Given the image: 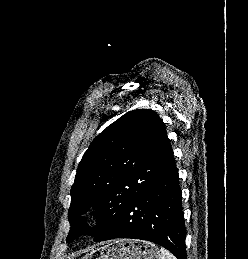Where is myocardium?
Instances as JSON below:
<instances>
[{
  "instance_id": "obj_1",
  "label": "myocardium",
  "mask_w": 248,
  "mask_h": 259,
  "mask_svg": "<svg viewBox=\"0 0 248 259\" xmlns=\"http://www.w3.org/2000/svg\"><path fill=\"white\" fill-rule=\"evenodd\" d=\"M96 217H97V214L96 213H93V214H91L90 216H89V220H94V219H96Z\"/></svg>"
}]
</instances>
